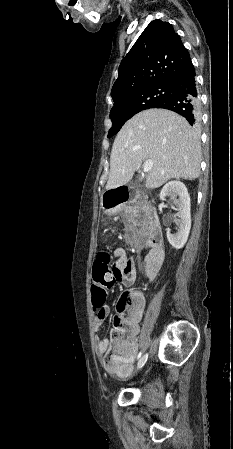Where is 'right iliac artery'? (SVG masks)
Masks as SVG:
<instances>
[{
  "label": "right iliac artery",
  "mask_w": 233,
  "mask_h": 449,
  "mask_svg": "<svg viewBox=\"0 0 233 449\" xmlns=\"http://www.w3.org/2000/svg\"><path fill=\"white\" fill-rule=\"evenodd\" d=\"M140 357H141V353L138 354L137 359H139ZM144 357H145V361H146L147 358H148V354L146 353V354L144 355Z\"/></svg>",
  "instance_id": "82829eb1"
}]
</instances>
